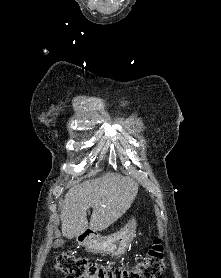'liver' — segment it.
Wrapping results in <instances>:
<instances>
[{"label": "liver", "mask_w": 221, "mask_h": 278, "mask_svg": "<svg viewBox=\"0 0 221 278\" xmlns=\"http://www.w3.org/2000/svg\"><path fill=\"white\" fill-rule=\"evenodd\" d=\"M138 193V183L130 177L106 173L74 185L66 193L61 210L62 234L74 238L88 228L102 231L116 222ZM92 208L90 223L87 210Z\"/></svg>", "instance_id": "obj_1"}]
</instances>
